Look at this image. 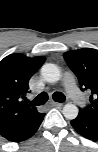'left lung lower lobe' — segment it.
I'll return each mask as SVG.
<instances>
[{
	"mask_svg": "<svg viewBox=\"0 0 98 152\" xmlns=\"http://www.w3.org/2000/svg\"><path fill=\"white\" fill-rule=\"evenodd\" d=\"M72 127L83 137L97 141L98 140V120L88 115L79 113L78 116L71 121Z\"/></svg>",
	"mask_w": 98,
	"mask_h": 152,
	"instance_id": "obj_1",
	"label": "left lung lower lobe"
}]
</instances>
